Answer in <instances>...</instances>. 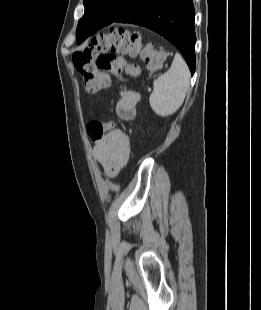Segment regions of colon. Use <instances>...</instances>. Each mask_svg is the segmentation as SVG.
<instances>
[{
  "instance_id": "obj_1",
  "label": "colon",
  "mask_w": 261,
  "mask_h": 310,
  "mask_svg": "<svg viewBox=\"0 0 261 310\" xmlns=\"http://www.w3.org/2000/svg\"><path fill=\"white\" fill-rule=\"evenodd\" d=\"M141 56L144 59V70L153 73L159 70L164 61L161 52L151 47H142L137 34L125 29L115 28L109 33L95 37L84 49L73 54L76 70L84 79L86 90L95 93L110 85V76L117 78L118 82H125V75L139 76L142 69L128 63L125 56ZM109 125L102 121H92L88 125V132L94 139L104 136Z\"/></svg>"
}]
</instances>
